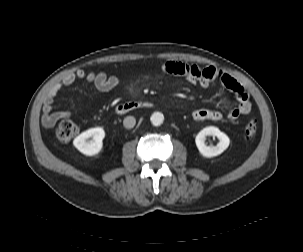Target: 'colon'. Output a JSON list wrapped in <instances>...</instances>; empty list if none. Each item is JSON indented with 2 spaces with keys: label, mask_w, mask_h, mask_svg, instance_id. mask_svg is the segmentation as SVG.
<instances>
[{
  "label": "colon",
  "mask_w": 303,
  "mask_h": 252,
  "mask_svg": "<svg viewBox=\"0 0 303 252\" xmlns=\"http://www.w3.org/2000/svg\"><path fill=\"white\" fill-rule=\"evenodd\" d=\"M257 130L258 125L255 121H250L245 126V134L248 138L254 136L257 133ZM78 132V126L70 120L60 122L54 129V134L62 140H70L74 138Z\"/></svg>",
  "instance_id": "1"
}]
</instances>
